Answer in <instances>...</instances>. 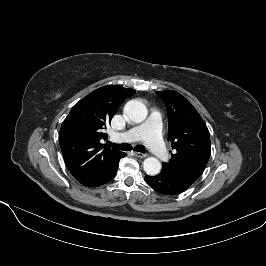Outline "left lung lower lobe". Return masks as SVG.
Here are the masks:
<instances>
[{
  "instance_id": "left-lung-lower-lobe-1",
  "label": "left lung lower lobe",
  "mask_w": 266,
  "mask_h": 266,
  "mask_svg": "<svg viewBox=\"0 0 266 266\" xmlns=\"http://www.w3.org/2000/svg\"><path fill=\"white\" fill-rule=\"evenodd\" d=\"M145 182L154 190L164 195H178L188 189L187 186L169 177L163 171L156 176L146 175Z\"/></svg>"
}]
</instances>
